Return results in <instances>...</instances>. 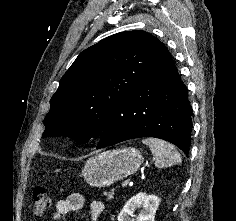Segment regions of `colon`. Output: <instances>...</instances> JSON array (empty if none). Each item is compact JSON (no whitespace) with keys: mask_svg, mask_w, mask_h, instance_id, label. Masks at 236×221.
I'll return each instance as SVG.
<instances>
[{"mask_svg":"<svg viewBox=\"0 0 236 221\" xmlns=\"http://www.w3.org/2000/svg\"><path fill=\"white\" fill-rule=\"evenodd\" d=\"M50 206V198L45 187L39 186L33 192V208L36 215H43Z\"/></svg>","mask_w":236,"mask_h":221,"instance_id":"5ec220e1","label":"colon"}]
</instances>
